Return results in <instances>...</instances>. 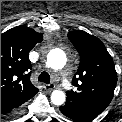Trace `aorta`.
Returning <instances> with one entry per match:
<instances>
[{
	"mask_svg": "<svg viewBox=\"0 0 122 122\" xmlns=\"http://www.w3.org/2000/svg\"><path fill=\"white\" fill-rule=\"evenodd\" d=\"M66 54L60 49L52 50L47 57L49 67L54 70L62 69L66 64ZM66 100V95L61 90H54L51 94V102L54 105H62Z\"/></svg>",
	"mask_w": 122,
	"mask_h": 122,
	"instance_id": "762f6f07",
	"label": "aorta"
}]
</instances>
